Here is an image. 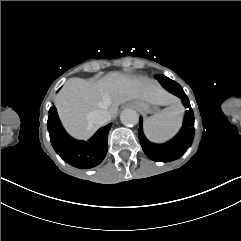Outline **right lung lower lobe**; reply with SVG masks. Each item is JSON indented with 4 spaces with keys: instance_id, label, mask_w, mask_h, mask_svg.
<instances>
[{
    "instance_id": "right-lung-lower-lobe-1",
    "label": "right lung lower lobe",
    "mask_w": 241,
    "mask_h": 241,
    "mask_svg": "<svg viewBox=\"0 0 241 241\" xmlns=\"http://www.w3.org/2000/svg\"><path fill=\"white\" fill-rule=\"evenodd\" d=\"M111 125L100 128L88 141H78L64 130L55 106L49 109L47 121L54 150L65 162L79 169H89L103 161L107 153L108 132Z\"/></svg>"
}]
</instances>
